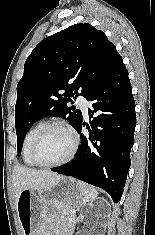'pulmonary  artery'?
Instances as JSON below:
<instances>
[{
    "mask_svg": "<svg viewBox=\"0 0 155 235\" xmlns=\"http://www.w3.org/2000/svg\"><path fill=\"white\" fill-rule=\"evenodd\" d=\"M77 103L81 107L84 115L87 116L88 115V107H89L88 101L83 96H79L77 98Z\"/></svg>",
    "mask_w": 155,
    "mask_h": 235,
    "instance_id": "e3ab8cb5",
    "label": "pulmonary artery"
}]
</instances>
